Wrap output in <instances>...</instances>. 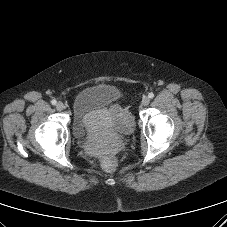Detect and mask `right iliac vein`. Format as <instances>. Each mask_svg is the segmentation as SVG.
<instances>
[{
  "instance_id": "obj_1",
  "label": "right iliac vein",
  "mask_w": 227,
  "mask_h": 227,
  "mask_svg": "<svg viewBox=\"0 0 227 227\" xmlns=\"http://www.w3.org/2000/svg\"><path fill=\"white\" fill-rule=\"evenodd\" d=\"M64 108H65V106H64V104H63L62 102H58V103L56 104V109H57L58 111H62Z\"/></svg>"
}]
</instances>
